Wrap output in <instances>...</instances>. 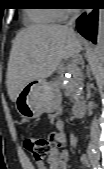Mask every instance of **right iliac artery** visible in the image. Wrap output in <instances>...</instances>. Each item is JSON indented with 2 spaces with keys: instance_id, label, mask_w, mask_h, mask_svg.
I'll return each instance as SVG.
<instances>
[{
  "instance_id": "82829eb1",
  "label": "right iliac artery",
  "mask_w": 104,
  "mask_h": 169,
  "mask_svg": "<svg viewBox=\"0 0 104 169\" xmlns=\"http://www.w3.org/2000/svg\"><path fill=\"white\" fill-rule=\"evenodd\" d=\"M87 153H88L90 161L93 165V169H100L99 162H98L97 155H96V151H95L92 144H89L88 149H87Z\"/></svg>"
}]
</instances>
